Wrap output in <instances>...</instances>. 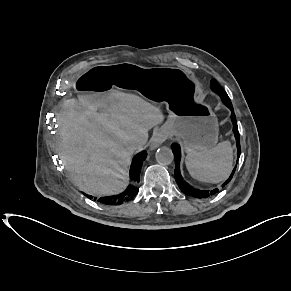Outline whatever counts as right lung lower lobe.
<instances>
[{
  "mask_svg": "<svg viewBox=\"0 0 291 291\" xmlns=\"http://www.w3.org/2000/svg\"><path fill=\"white\" fill-rule=\"evenodd\" d=\"M147 157V152L142 151L135 155L133 158L131 168H130V184L126 188V190L120 194L114 195V196H107V197H101L98 198L95 197V200H97L100 203H103L105 205H120L122 203H126L131 201L138 193V183H139V175L141 171V167L143 164V161ZM86 195V194H84ZM87 197L93 198V196L86 195Z\"/></svg>",
  "mask_w": 291,
  "mask_h": 291,
  "instance_id": "1",
  "label": "right lung lower lobe"
}]
</instances>
